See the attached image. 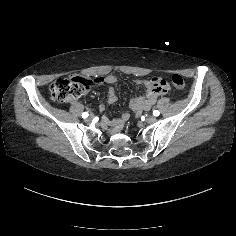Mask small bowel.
<instances>
[{"label": "small bowel", "mask_w": 236, "mask_h": 236, "mask_svg": "<svg viewBox=\"0 0 236 236\" xmlns=\"http://www.w3.org/2000/svg\"><path fill=\"white\" fill-rule=\"evenodd\" d=\"M97 82H106V83H113V82H115V78L114 77H112V76H107V77H105V78H100V79H97L96 80ZM161 79H155L154 80V82H156V83H161ZM117 100V95H116V92H115V90L113 89V88H111L110 90H109V101L110 102H115ZM153 102H154V99H152V98H150V99H148L142 106H140L142 109H146V108H148V107H150L152 104H153Z\"/></svg>", "instance_id": "small-bowel-1"}]
</instances>
